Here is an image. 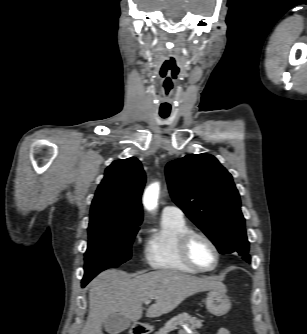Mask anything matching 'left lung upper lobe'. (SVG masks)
I'll list each match as a JSON object with an SVG mask.
<instances>
[{
	"label": "left lung upper lobe",
	"mask_w": 307,
	"mask_h": 334,
	"mask_svg": "<svg viewBox=\"0 0 307 334\" xmlns=\"http://www.w3.org/2000/svg\"><path fill=\"white\" fill-rule=\"evenodd\" d=\"M165 172L173 201L218 251L238 252L249 261L239 193L219 161L209 154H191L169 162Z\"/></svg>",
	"instance_id": "1"
}]
</instances>
